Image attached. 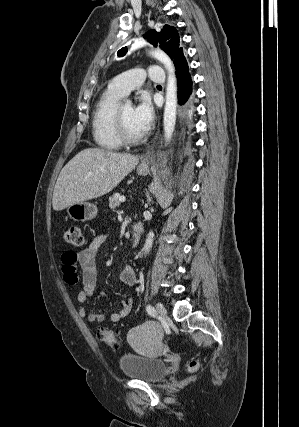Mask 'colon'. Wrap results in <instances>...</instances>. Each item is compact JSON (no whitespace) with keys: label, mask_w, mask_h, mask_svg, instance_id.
I'll use <instances>...</instances> for the list:
<instances>
[{"label":"colon","mask_w":299,"mask_h":427,"mask_svg":"<svg viewBox=\"0 0 299 427\" xmlns=\"http://www.w3.org/2000/svg\"><path fill=\"white\" fill-rule=\"evenodd\" d=\"M65 241L73 246H81L83 244V237L81 234V228L78 225L69 226L64 233ZM98 337L100 340L104 341L108 345L118 347L120 345V338L118 335L111 329L100 328L98 330ZM199 367V362L193 360L189 364V370L195 371Z\"/></svg>","instance_id":"obj_1"}]
</instances>
